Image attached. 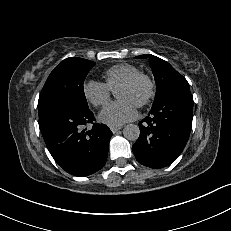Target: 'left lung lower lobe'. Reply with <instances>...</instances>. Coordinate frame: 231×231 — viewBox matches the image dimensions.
Listing matches in <instances>:
<instances>
[{
	"label": "left lung lower lobe",
	"instance_id": "left-lung-lower-lobe-1",
	"mask_svg": "<svg viewBox=\"0 0 231 231\" xmlns=\"http://www.w3.org/2000/svg\"><path fill=\"white\" fill-rule=\"evenodd\" d=\"M193 98L189 89L166 94L153 104L140 121V136L133 145L137 161L150 168H163L183 151L191 130Z\"/></svg>",
	"mask_w": 231,
	"mask_h": 231
}]
</instances>
